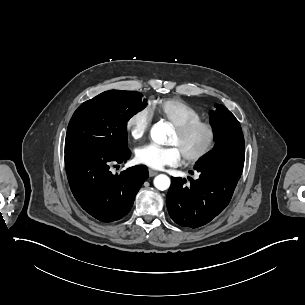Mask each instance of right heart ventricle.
<instances>
[{
	"label": "right heart ventricle",
	"instance_id": "right-heart-ventricle-1",
	"mask_svg": "<svg viewBox=\"0 0 305 305\" xmlns=\"http://www.w3.org/2000/svg\"><path fill=\"white\" fill-rule=\"evenodd\" d=\"M152 115L163 117L173 125L202 120V115L188 103L176 98L158 99L150 102Z\"/></svg>",
	"mask_w": 305,
	"mask_h": 305
}]
</instances>
